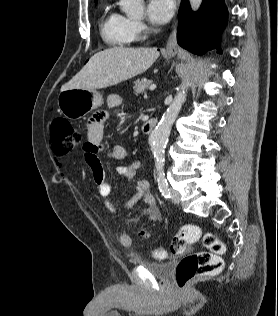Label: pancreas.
Here are the masks:
<instances>
[{"label": "pancreas", "mask_w": 278, "mask_h": 316, "mask_svg": "<svg viewBox=\"0 0 278 316\" xmlns=\"http://www.w3.org/2000/svg\"><path fill=\"white\" fill-rule=\"evenodd\" d=\"M152 84V81L147 78L137 79L134 82V94L139 95L141 93H145L147 88Z\"/></svg>", "instance_id": "1"}]
</instances>
